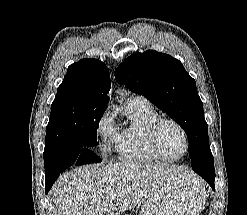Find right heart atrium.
I'll list each match as a JSON object with an SVG mask.
<instances>
[{
	"label": "right heart atrium",
	"instance_id": "1",
	"mask_svg": "<svg viewBox=\"0 0 247 215\" xmlns=\"http://www.w3.org/2000/svg\"><path fill=\"white\" fill-rule=\"evenodd\" d=\"M114 117L109 111H105L99 117L96 132L98 137L103 143V147L106 149L107 145L111 143L115 135Z\"/></svg>",
	"mask_w": 247,
	"mask_h": 215
}]
</instances>
